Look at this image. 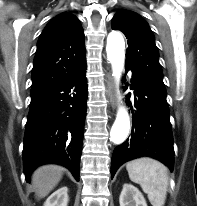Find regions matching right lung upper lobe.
I'll use <instances>...</instances> for the list:
<instances>
[{
	"label": "right lung upper lobe",
	"instance_id": "right-lung-upper-lobe-1",
	"mask_svg": "<svg viewBox=\"0 0 197 206\" xmlns=\"http://www.w3.org/2000/svg\"><path fill=\"white\" fill-rule=\"evenodd\" d=\"M86 63L84 32L76 16L62 13L41 33L32 70L31 93H44Z\"/></svg>",
	"mask_w": 197,
	"mask_h": 206
}]
</instances>
